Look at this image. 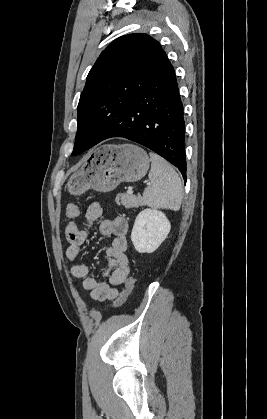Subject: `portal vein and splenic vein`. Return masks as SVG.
<instances>
[{
    "label": "portal vein and splenic vein",
    "instance_id": "1",
    "mask_svg": "<svg viewBox=\"0 0 267 419\" xmlns=\"http://www.w3.org/2000/svg\"><path fill=\"white\" fill-rule=\"evenodd\" d=\"M150 184H151L150 182H148V183H147V185H150ZM127 193H128V194H132V193H133L132 188H129V189H128V191H127Z\"/></svg>",
    "mask_w": 267,
    "mask_h": 419
}]
</instances>
